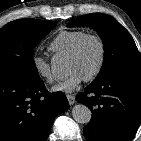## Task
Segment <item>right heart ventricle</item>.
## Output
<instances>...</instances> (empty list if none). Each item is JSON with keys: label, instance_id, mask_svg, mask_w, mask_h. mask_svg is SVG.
Segmentation results:
<instances>
[{"label": "right heart ventricle", "instance_id": "obj_1", "mask_svg": "<svg viewBox=\"0 0 141 141\" xmlns=\"http://www.w3.org/2000/svg\"><path fill=\"white\" fill-rule=\"evenodd\" d=\"M87 33L81 30L61 31L49 44L48 49L56 55H69L79 40Z\"/></svg>", "mask_w": 141, "mask_h": 141}]
</instances>
